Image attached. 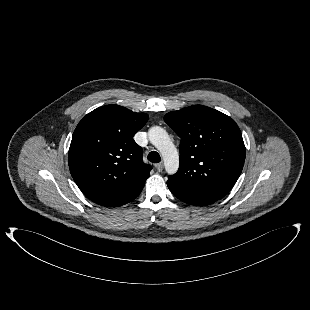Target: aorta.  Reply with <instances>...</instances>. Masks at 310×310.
<instances>
[{
	"mask_svg": "<svg viewBox=\"0 0 310 310\" xmlns=\"http://www.w3.org/2000/svg\"><path fill=\"white\" fill-rule=\"evenodd\" d=\"M149 141L159 150L163 157L165 170L174 174L179 168V154L165 129L153 126L148 131Z\"/></svg>",
	"mask_w": 310,
	"mask_h": 310,
	"instance_id": "1",
	"label": "aorta"
}]
</instances>
